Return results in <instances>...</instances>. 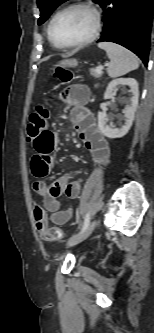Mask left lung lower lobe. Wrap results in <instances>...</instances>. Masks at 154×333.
<instances>
[{
    "label": "left lung lower lobe",
    "mask_w": 154,
    "mask_h": 333,
    "mask_svg": "<svg viewBox=\"0 0 154 333\" xmlns=\"http://www.w3.org/2000/svg\"><path fill=\"white\" fill-rule=\"evenodd\" d=\"M103 33L98 42L120 44L147 66L154 0H102Z\"/></svg>",
    "instance_id": "obj_1"
}]
</instances>
